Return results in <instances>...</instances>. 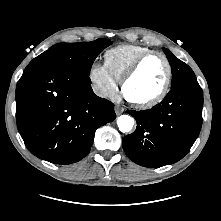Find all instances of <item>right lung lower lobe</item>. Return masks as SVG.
Instances as JSON below:
<instances>
[{"label": "right lung lower lobe", "mask_w": 221, "mask_h": 221, "mask_svg": "<svg viewBox=\"0 0 221 221\" xmlns=\"http://www.w3.org/2000/svg\"><path fill=\"white\" fill-rule=\"evenodd\" d=\"M89 75L35 66L16 86V121L28 150L55 164L85 157L97 128L116 118L112 102L93 93Z\"/></svg>", "instance_id": "right-lung-lower-lobe-1"}]
</instances>
